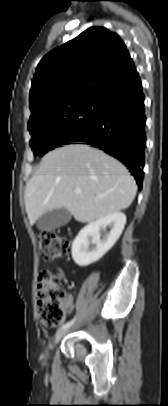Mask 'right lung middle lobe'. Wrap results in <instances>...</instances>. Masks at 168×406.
Listing matches in <instances>:
<instances>
[{
	"label": "right lung middle lobe",
	"instance_id": "dd1d6c3e",
	"mask_svg": "<svg viewBox=\"0 0 168 406\" xmlns=\"http://www.w3.org/2000/svg\"><path fill=\"white\" fill-rule=\"evenodd\" d=\"M100 111V99L84 100L29 123L28 129L32 135L30 146L34 155L43 156L49 150L81 135L96 122Z\"/></svg>",
	"mask_w": 168,
	"mask_h": 406
}]
</instances>
